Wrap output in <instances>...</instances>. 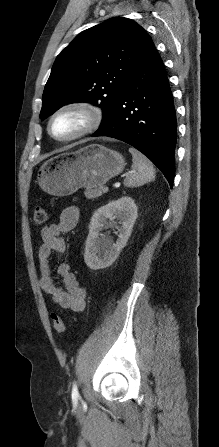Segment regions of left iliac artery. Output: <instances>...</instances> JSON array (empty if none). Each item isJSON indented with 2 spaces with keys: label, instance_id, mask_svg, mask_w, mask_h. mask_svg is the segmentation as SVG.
<instances>
[{
  "label": "left iliac artery",
  "instance_id": "44dca946",
  "mask_svg": "<svg viewBox=\"0 0 219 447\" xmlns=\"http://www.w3.org/2000/svg\"><path fill=\"white\" fill-rule=\"evenodd\" d=\"M78 397H79L78 388H77L76 383H74L73 387H72V400L76 401L78 399Z\"/></svg>",
  "mask_w": 219,
  "mask_h": 447
}]
</instances>
